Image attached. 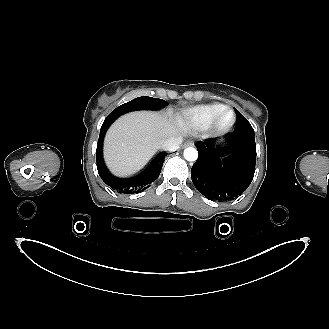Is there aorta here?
<instances>
[{
  "mask_svg": "<svg viewBox=\"0 0 329 329\" xmlns=\"http://www.w3.org/2000/svg\"><path fill=\"white\" fill-rule=\"evenodd\" d=\"M184 157L187 161H196L198 158V152L193 147H188L184 150Z\"/></svg>",
  "mask_w": 329,
  "mask_h": 329,
  "instance_id": "762f6f07",
  "label": "aorta"
}]
</instances>
